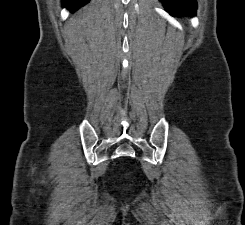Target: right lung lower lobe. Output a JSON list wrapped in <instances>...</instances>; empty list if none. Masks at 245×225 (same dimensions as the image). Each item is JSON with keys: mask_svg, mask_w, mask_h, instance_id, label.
<instances>
[{"mask_svg": "<svg viewBox=\"0 0 245 225\" xmlns=\"http://www.w3.org/2000/svg\"><path fill=\"white\" fill-rule=\"evenodd\" d=\"M88 0H63V5L69 10L76 11L79 7L85 5Z\"/></svg>", "mask_w": 245, "mask_h": 225, "instance_id": "1", "label": "right lung lower lobe"}]
</instances>
